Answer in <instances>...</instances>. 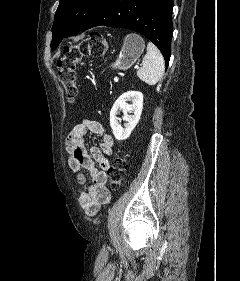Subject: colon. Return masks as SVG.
I'll list each match as a JSON object with an SVG mask.
<instances>
[{"mask_svg": "<svg viewBox=\"0 0 240 281\" xmlns=\"http://www.w3.org/2000/svg\"><path fill=\"white\" fill-rule=\"evenodd\" d=\"M107 52V41L100 33H91L87 38L65 48L57 61L58 76L70 101L77 96V65L86 56L103 57ZM127 162L125 155L118 154L108 169L110 187L118 189L125 178Z\"/></svg>", "mask_w": 240, "mask_h": 281, "instance_id": "1", "label": "colon"}]
</instances>
